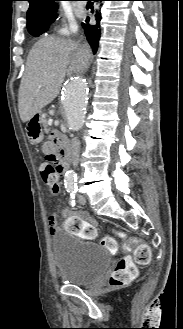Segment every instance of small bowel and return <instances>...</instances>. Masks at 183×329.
I'll return each instance as SVG.
<instances>
[{
  "label": "small bowel",
  "mask_w": 183,
  "mask_h": 329,
  "mask_svg": "<svg viewBox=\"0 0 183 329\" xmlns=\"http://www.w3.org/2000/svg\"><path fill=\"white\" fill-rule=\"evenodd\" d=\"M43 151L45 154H53L55 152L54 141H47L43 145ZM62 214L65 216L77 217L81 220H67V235L68 236H82V242H95L96 237L99 234V225L97 221L86 212H71L67 209H62ZM49 232L51 235H55L61 229L64 228V224L61 220H58L55 213L51 214L48 218Z\"/></svg>",
  "instance_id": "obj_1"
}]
</instances>
